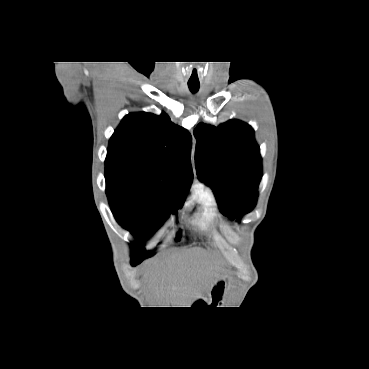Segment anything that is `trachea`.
I'll return each mask as SVG.
<instances>
[{
    "label": "trachea",
    "instance_id": "obj_1",
    "mask_svg": "<svg viewBox=\"0 0 369 369\" xmlns=\"http://www.w3.org/2000/svg\"><path fill=\"white\" fill-rule=\"evenodd\" d=\"M188 87L192 93H196L199 90V83H188Z\"/></svg>",
    "mask_w": 369,
    "mask_h": 369
}]
</instances>
